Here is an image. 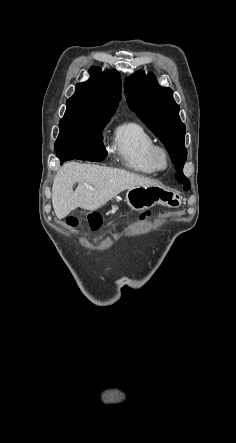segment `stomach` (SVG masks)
<instances>
[{"mask_svg": "<svg viewBox=\"0 0 236 443\" xmlns=\"http://www.w3.org/2000/svg\"><path fill=\"white\" fill-rule=\"evenodd\" d=\"M125 201L131 209L138 211L151 208L156 204L176 208L181 203L176 194L159 185L132 187L128 189Z\"/></svg>", "mask_w": 236, "mask_h": 443, "instance_id": "0dacf381", "label": "stomach"}]
</instances>
